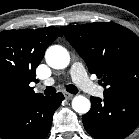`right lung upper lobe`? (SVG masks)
Here are the masks:
<instances>
[{"instance_id":"obj_1","label":"right lung upper lobe","mask_w":139,"mask_h":139,"mask_svg":"<svg viewBox=\"0 0 139 139\" xmlns=\"http://www.w3.org/2000/svg\"><path fill=\"white\" fill-rule=\"evenodd\" d=\"M61 32L56 27L0 32V112L42 97L30 82L47 47Z\"/></svg>"}]
</instances>
